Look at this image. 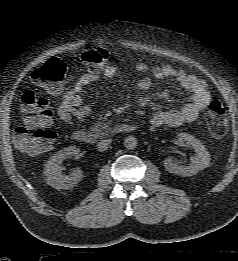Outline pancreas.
Returning <instances> with one entry per match:
<instances>
[{
    "instance_id": "cf45deb5",
    "label": "pancreas",
    "mask_w": 238,
    "mask_h": 261,
    "mask_svg": "<svg viewBox=\"0 0 238 261\" xmlns=\"http://www.w3.org/2000/svg\"><path fill=\"white\" fill-rule=\"evenodd\" d=\"M108 128V124L106 123H102V122H98L96 123L93 127H92V131L95 132H101L102 130Z\"/></svg>"
}]
</instances>
